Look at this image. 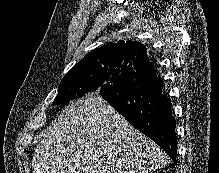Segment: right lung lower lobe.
Masks as SVG:
<instances>
[{
  "label": "right lung lower lobe",
  "instance_id": "1",
  "mask_svg": "<svg viewBox=\"0 0 219 173\" xmlns=\"http://www.w3.org/2000/svg\"><path fill=\"white\" fill-rule=\"evenodd\" d=\"M163 81L148 62L128 73L111 92L101 96L135 128L155 141L176 164V121Z\"/></svg>",
  "mask_w": 219,
  "mask_h": 173
}]
</instances>
